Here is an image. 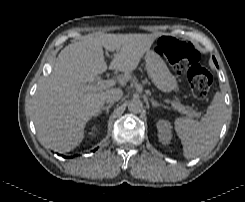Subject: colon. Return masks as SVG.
I'll list each match as a JSON object with an SVG mask.
<instances>
[{"mask_svg":"<svg viewBox=\"0 0 245 202\" xmlns=\"http://www.w3.org/2000/svg\"><path fill=\"white\" fill-rule=\"evenodd\" d=\"M158 46L164 57L179 73H186L192 92L204 98L211 85V74L200 66V54L188 42L173 36H163Z\"/></svg>","mask_w":245,"mask_h":202,"instance_id":"5ec220e1","label":"colon"}]
</instances>
